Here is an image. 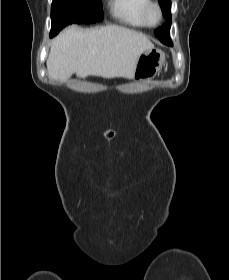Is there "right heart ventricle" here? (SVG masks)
<instances>
[{
  "instance_id": "e07e8e85",
  "label": "right heart ventricle",
  "mask_w": 229,
  "mask_h": 280,
  "mask_svg": "<svg viewBox=\"0 0 229 280\" xmlns=\"http://www.w3.org/2000/svg\"><path fill=\"white\" fill-rule=\"evenodd\" d=\"M149 0H110L111 15L120 23L136 28L147 27L143 12Z\"/></svg>"
}]
</instances>
